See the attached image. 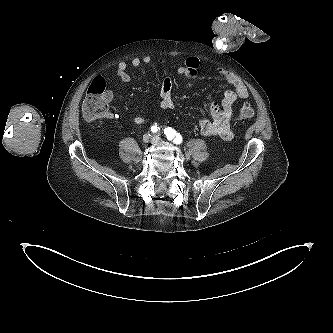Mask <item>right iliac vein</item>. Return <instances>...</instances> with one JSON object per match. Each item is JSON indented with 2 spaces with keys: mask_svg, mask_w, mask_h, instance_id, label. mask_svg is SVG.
Segmentation results:
<instances>
[{
  "mask_svg": "<svg viewBox=\"0 0 333 333\" xmlns=\"http://www.w3.org/2000/svg\"><path fill=\"white\" fill-rule=\"evenodd\" d=\"M143 141H144L145 143H148V142L152 141V136H151L150 134H145V135L143 136Z\"/></svg>",
  "mask_w": 333,
  "mask_h": 333,
  "instance_id": "63e3f726",
  "label": "right iliac vein"
}]
</instances>
